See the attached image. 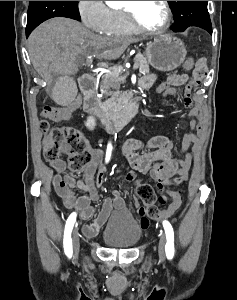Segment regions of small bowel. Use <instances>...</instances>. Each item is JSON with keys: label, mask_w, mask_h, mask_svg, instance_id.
I'll use <instances>...</instances> for the list:
<instances>
[{"label": "small bowel", "mask_w": 237, "mask_h": 300, "mask_svg": "<svg viewBox=\"0 0 237 300\" xmlns=\"http://www.w3.org/2000/svg\"><path fill=\"white\" fill-rule=\"evenodd\" d=\"M207 74V65L204 59H200L193 70L191 78L186 74H174L167 78L163 85L169 87L170 92L182 85L185 87L184 107L188 109L190 117V129L184 136L180 156H175V147L170 139L165 135H158L144 143L138 138H129L123 146V154L130 166L142 173L149 174L162 194L163 188L168 184L171 174H186L190 168L195 152L188 151L191 144L196 145L199 141L203 129L201 109L193 106L191 95L192 88L198 86ZM154 74L143 77L139 82L140 89H149L157 81ZM81 99L75 98L71 103L59 108H52L49 118L59 121L70 117L72 112L80 106ZM92 160L84 168L83 179L77 178L73 174H66V162L63 159L50 161L53 170L52 185L55 192L61 197L67 209L74 210L79 216L86 220L84 233L95 236L107 221L113 210L124 207V200L121 192L113 189L111 195L106 197L96 212L92 203L100 200L99 188L103 183L106 174V155L101 149H93ZM67 154V153H66ZM77 189L82 191L78 194ZM180 206V200L173 201L170 206L161 211L160 218H168L175 213ZM135 209L138 215L140 226L143 229L149 227L150 221L145 213V209L135 202Z\"/></svg>", "instance_id": "c3829d8e"}]
</instances>
